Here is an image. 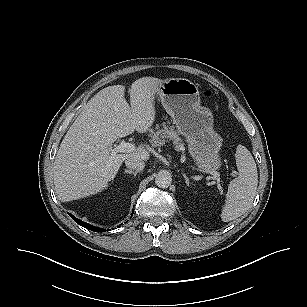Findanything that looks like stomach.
Masks as SVG:
<instances>
[{
	"mask_svg": "<svg viewBox=\"0 0 307 307\" xmlns=\"http://www.w3.org/2000/svg\"><path fill=\"white\" fill-rule=\"evenodd\" d=\"M157 94L198 166L203 171L217 170L222 138L213 129L211 110L200 104L197 84L185 78H170L162 81Z\"/></svg>",
	"mask_w": 307,
	"mask_h": 307,
	"instance_id": "stomach-1",
	"label": "stomach"
}]
</instances>
